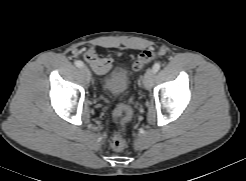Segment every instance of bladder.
<instances>
[{
    "label": "bladder",
    "mask_w": 246,
    "mask_h": 181,
    "mask_svg": "<svg viewBox=\"0 0 246 181\" xmlns=\"http://www.w3.org/2000/svg\"><path fill=\"white\" fill-rule=\"evenodd\" d=\"M129 85L130 76L128 71L123 66H117L107 77L104 88L108 94L118 96L127 91Z\"/></svg>",
    "instance_id": "31cf9c89"
}]
</instances>
